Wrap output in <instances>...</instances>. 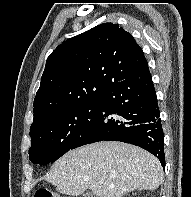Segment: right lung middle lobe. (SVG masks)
Returning <instances> with one entry per match:
<instances>
[{"instance_id": "obj_1", "label": "right lung middle lobe", "mask_w": 191, "mask_h": 197, "mask_svg": "<svg viewBox=\"0 0 191 197\" xmlns=\"http://www.w3.org/2000/svg\"><path fill=\"white\" fill-rule=\"evenodd\" d=\"M98 106L97 101L79 104L31 127L30 161L47 165L68 152L96 116Z\"/></svg>"}]
</instances>
